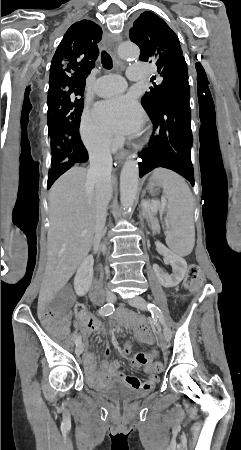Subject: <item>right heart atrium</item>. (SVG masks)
<instances>
[{"label":"right heart atrium","instance_id":"right-heart-atrium-1","mask_svg":"<svg viewBox=\"0 0 241 450\" xmlns=\"http://www.w3.org/2000/svg\"><path fill=\"white\" fill-rule=\"evenodd\" d=\"M80 133L91 155H108L110 153L113 138L92 120L88 112H84L82 115Z\"/></svg>","mask_w":241,"mask_h":450}]
</instances>
